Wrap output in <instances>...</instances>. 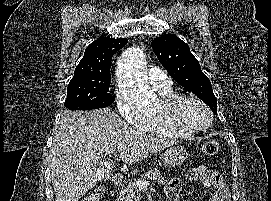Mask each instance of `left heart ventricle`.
<instances>
[{
	"instance_id": "b2bd125f",
	"label": "left heart ventricle",
	"mask_w": 271,
	"mask_h": 201,
	"mask_svg": "<svg viewBox=\"0 0 271 201\" xmlns=\"http://www.w3.org/2000/svg\"><path fill=\"white\" fill-rule=\"evenodd\" d=\"M160 109V105L159 108ZM179 115L184 123L192 127L205 126L209 121L207 112L194 102H184L179 108Z\"/></svg>"
}]
</instances>
